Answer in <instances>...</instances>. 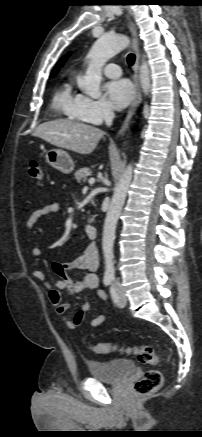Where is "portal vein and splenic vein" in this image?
<instances>
[{"label": "portal vein and splenic vein", "mask_w": 202, "mask_h": 437, "mask_svg": "<svg viewBox=\"0 0 202 437\" xmlns=\"http://www.w3.org/2000/svg\"><path fill=\"white\" fill-rule=\"evenodd\" d=\"M94 182H95V179H94V178H90V179H89V183H90V184H93Z\"/></svg>", "instance_id": "1"}]
</instances>
